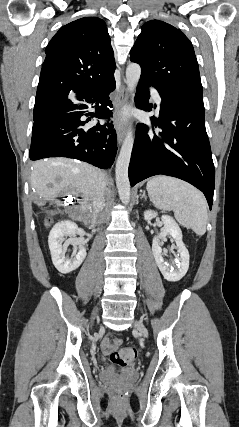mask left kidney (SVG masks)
<instances>
[{
  "instance_id": "1",
  "label": "left kidney",
  "mask_w": 239,
  "mask_h": 427,
  "mask_svg": "<svg viewBox=\"0 0 239 427\" xmlns=\"http://www.w3.org/2000/svg\"><path fill=\"white\" fill-rule=\"evenodd\" d=\"M156 216L157 213L154 211L147 210L144 212V219L147 221L152 220ZM161 220L164 224L163 231L153 238L152 253L164 278L167 281L176 282L188 271L189 252L182 241V231L176 221L168 215H163ZM167 235H170L175 240L180 255V257L176 259L174 267L165 262L162 257V248L159 239L165 238Z\"/></svg>"
}]
</instances>
